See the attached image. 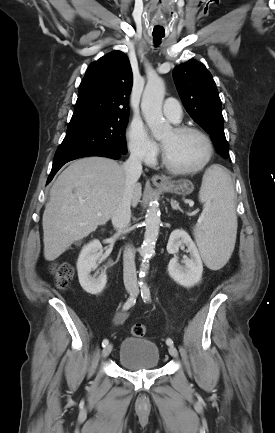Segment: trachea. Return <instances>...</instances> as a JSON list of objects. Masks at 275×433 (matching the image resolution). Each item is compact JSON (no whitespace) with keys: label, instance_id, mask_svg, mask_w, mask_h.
Returning a JSON list of instances; mask_svg holds the SVG:
<instances>
[{"label":"trachea","instance_id":"obj_1","mask_svg":"<svg viewBox=\"0 0 275 433\" xmlns=\"http://www.w3.org/2000/svg\"><path fill=\"white\" fill-rule=\"evenodd\" d=\"M153 38H154L155 45H158V44H160V41L163 38V36L154 35Z\"/></svg>","mask_w":275,"mask_h":433}]
</instances>
